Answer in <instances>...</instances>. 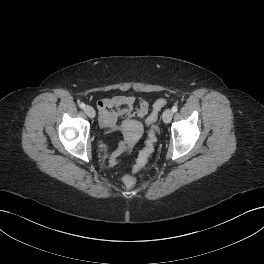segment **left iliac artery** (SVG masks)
I'll return each mask as SVG.
<instances>
[{
	"instance_id": "left-iliac-artery-1",
	"label": "left iliac artery",
	"mask_w": 264,
	"mask_h": 264,
	"mask_svg": "<svg viewBox=\"0 0 264 264\" xmlns=\"http://www.w3.org/2000/svg\"><path fill=\"white\" fill-rule=\"evenodd\" d=\"M177 110H178V107H177V106H173V107H172V111H173V113L177 112Z\"/></svg>"
}]
</instances>
